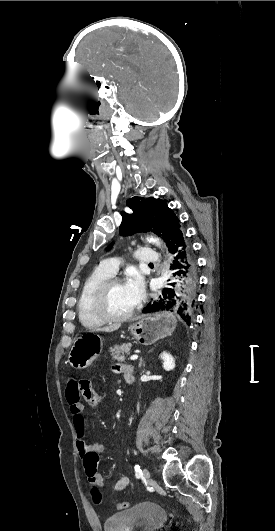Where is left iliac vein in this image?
<instances>
[{"mask_svg":"<svg viewBox=\"0 0 275 531\" xmlns=\"http://www.w3.org/2000/svg\"><path fill=\"white\" fill-rule=\"evenodd\" d=\"M143 475L148 484L153 485L156 483V481L150 477L149 471L147 469L143 470Z\"/></svg>","mask_w":275,"mask_h":531,"instance_id":"4c4485c4","label":"left iliac vein"}]
</instances>
